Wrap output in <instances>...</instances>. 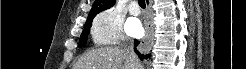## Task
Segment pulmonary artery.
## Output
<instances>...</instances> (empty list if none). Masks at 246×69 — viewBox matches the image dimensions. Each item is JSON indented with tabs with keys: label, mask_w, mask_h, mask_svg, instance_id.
Wrapping results in <instances>:
<instances>
[{
	"label": "pulmonary artery",
	"mask_w": 246,
	"mask_h": 69,
	"mask_svg": "<svg viewBox=\"0 0 246 69\" xmlns=\"http://www.w3.org/2000/svg\"><path fill=\"white\" fill-rule=\"evenodd\" d=\"M129 12L132 15H139L140 14V10H139V8H138L136 3L131 5Z\"/></svg>",
	"instance_id": "e3ab8cb5"
}]
</instances>
